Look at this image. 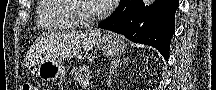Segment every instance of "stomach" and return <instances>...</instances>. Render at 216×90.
<instances>
[{"mask_svg": "<svg viewBox=\"0 0 216 90\" xmlns=\"http://www.w3.org/2000/svg\"><path fill=\"white\" fill-rule=\"evenodd\" d=\"M97 49L107 56H115L125 50L124 40L112 33L105 34L96 44ZM66 75V69L59 61H46L37 68V76L42 81L62 80Z\"/></svg>", "mask_w": 216, "mask_h": 90, "instance_id": "1", "label": "stomach"}]
</instances>
